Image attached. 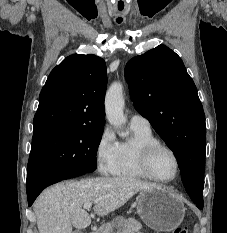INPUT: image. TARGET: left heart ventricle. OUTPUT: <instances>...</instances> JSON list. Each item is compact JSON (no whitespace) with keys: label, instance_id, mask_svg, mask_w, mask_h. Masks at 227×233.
Listing matches in <instances>:
<instances>
[{"label":"left heart ventricle","instance_id":"1","mask_svg":"<svg viewBox=\"0 0 227 233\" xmlns=\"http://www.w3.org/2000/svg\"><path fill=\"white\" fill-rule=\"evenodd\" d=\"M152 170L160 178L170 179L175 174V161L166 150L157 151L152 158Z\"/></svg>","mask_w":227,"mask_h":233}]
</instances>
